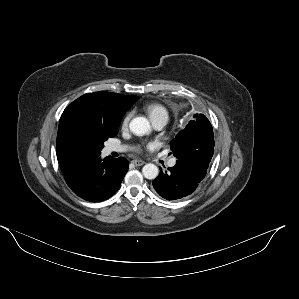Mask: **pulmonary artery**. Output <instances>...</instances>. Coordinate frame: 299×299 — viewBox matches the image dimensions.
Masks as SVG:
<instances>
[{"mask_svg":"<svg viewBox=\"0 0 299 299\" xmlns=\"http://www.w3.org/2000/svg\"><path fill=\"white\" fill-rule=\"evenodd\" d=\"M167 121H168V118L160 117V118L154 120L152 122V124L156 130H161L166 125ZM126 150H127V147L124 145L112 144L108 147L109 152H124ZM175 164H176V159H174V158H172L168 161L169 167H173Z\"/></svg>","mask_w":299,"mask_h":299,"instance_id":"obj_1","label":"pulmonary artery"}]
</instances>
